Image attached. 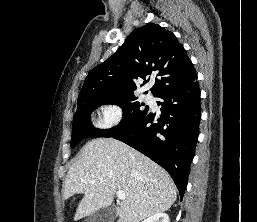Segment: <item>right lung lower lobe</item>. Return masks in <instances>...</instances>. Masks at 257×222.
Here are the masks:
<instances>
[{"label": "right lung lower lobe", "mask_w": 257, "mask_h": 222, "mask_svg": "<svg viewBox=\"0 0 257 222\" xmlns=\"http://www.w3.org/2000/svg\"><path fill=\"white\" fill-rule=\"evenodd\" d=\"M197 76L189 83L155 94L160 117L147 112L112 137L148 156L171 175L182 198L195 154L201 117Z\"/></svg>", "instance_id": "right-lung-lower-lobe-1"}]
</instances>
